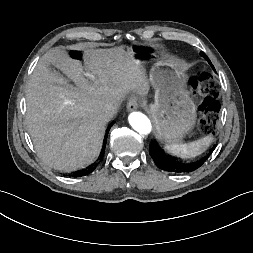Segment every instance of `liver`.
I'll return each mask as SVG.
<instances>
[{
  "label": "liver",
  "mask_w": 253,
  "mask_h": 253,
  "mask_svg": "<svg viewBox=\"0 0 253 253\" xmlns=\"http://www.w3.org/2000/svg\"><path fill=\"white\" fill-rule=\"evenodd\" d=\"M83 60L84 65L70 57L65 47L50 49L36 65L26 90L27 130L37 155L56 170L76 169L96 158L109 121L106 104L119 106L127 94L149 91L141 62L128 48H87ZM50 65L76 86L51 71Z\"/></svg>",
  "instance_id": "obj_1"
}]
</instances>
